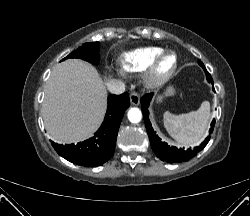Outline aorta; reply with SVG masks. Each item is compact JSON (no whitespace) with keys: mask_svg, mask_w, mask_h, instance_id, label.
Masks as SVG:
<instances>
[{"mask_svg":"<svg viewBox=\"0 0 250 216\" xmlns=\"http://www.w3.org/2000/svg\"><path fill=\"white\" fill-rule=\"evenodd\" d=\"M128 119L131 123H139L142 119V113L138 108H131L128 111Z\"/></svg>","mask_w":250,"mask_h":216,"instance_id":"1","label":"aorta"}]
</instances>
